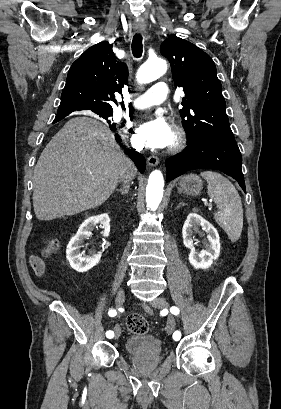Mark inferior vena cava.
Returning a JSON list of instances; mask_svg holds the SVG:
<instances>
[{"label":"inferior vena cava","instance_id":"obj_1","mask_svg":"<svg viewBox=\"0 0 281 409\" xmlns=\"http://www.w3.org/2000/svg\"><path fill=\"white\" fill-rule=\"evenodd\" d=\"M135 176V166L132 160H127L126 168L121 172L120 178L123 180L124 184H128L130 186V180Z\"/></svg>","mask_w":281,"mask_h":409}]
</instances>
